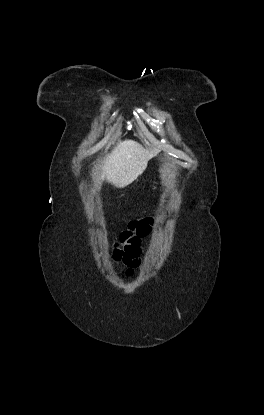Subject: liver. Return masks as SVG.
<instances>
[{
    "label": "liver",
    "instance_id": "1",
    "mask_svg": "<svg viewBox=\"0 0 264 415\" xmlns=\"http://www.w3.org/2000/svg\"><path fill=\"white\" fill-rule=\"evenodd\" d=\"M157 149H144L133 140L120 142L107 156L101 178L118 188H124L140 176Z\"/></svg>",
    "mask_w": 264,
    "mask_h": 415
}]
</instances>
